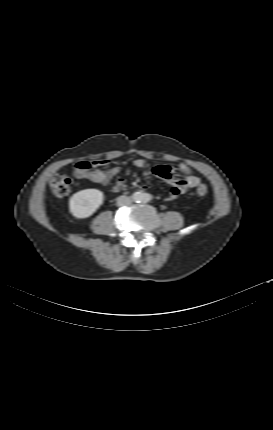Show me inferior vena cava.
I'll return each instance as SVG.
<instances>
[{"instance_id":"602c4592","label":"inferior vena cava","mask_w":273,"mask_h":430,"mask_svg":"<svg viewBox=\"0 0 273 430\" xmlns=\"http://www.w3.org/2000/svg\"><path fill=\"white\" fill-rule=\"evenodd\" d=\"M130 203H131L130 197H127L125 195L119 196L117 198V205L118 206H126V205H129Z\"/></svg>"}]
</instances>
